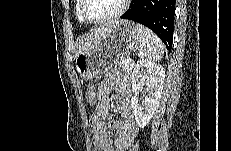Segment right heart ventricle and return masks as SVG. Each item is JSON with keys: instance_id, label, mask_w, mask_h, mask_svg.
I'll return each instance as SVG.
<instances>
[{"instance_id": "right-heart-ventricle-1", "label": "right heart ventricle", "mask_w": 231, "mask_h": 151, "mask_svg": "<svg viewBox=\"0 0 231 151\" xmlns=\"http://www.w3.org/2000/svg\"><path fill=\"white\" fill-rule=\"evenodd\" d=\"M76 13H77V16H78V19L83 22V20L81 19L80 15H79V1L77 2L76 4Z\"/></svg>"}]
</instances>
